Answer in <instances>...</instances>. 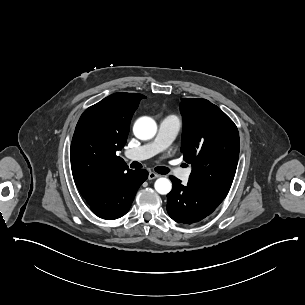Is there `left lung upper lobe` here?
<instances>
[{"mask_svg":"<svg viewBox=\"0 0 305 305\" xmlns=\"http://www.w3.org/2000/svg\"><path fill=\"white\" fill-rule=\"evenodd\" d=\"M180 108L184 121L181 152L192 164L189 182L227 194L239 157L236 125L206 99H182Z\"/></svg>","mask_w":305,"mask_h":305,"instance_id":"5c2ea615","label":"left lung upper lobe"}]
</instances>
